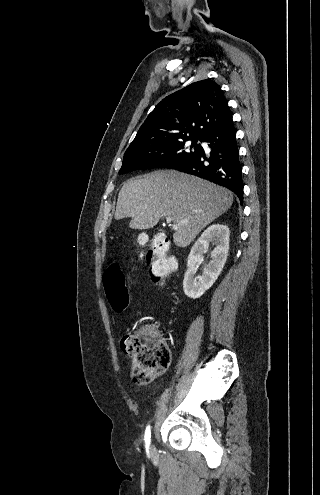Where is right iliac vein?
Masks as SVG:
<instances>
[{
  "label": "right iliac vein",
  "mask_w": 320,
  "mask_h": 495,
  "mask_svg": "<svg viewBox=\"0 0 320 495\" xmlns=\"http://www.w3.org/2000/svg\"><path fill=\"white\" fill-rule=\"evenodd\" d=\"M150 452H151L152 454H154V453H155V448H154V446H153V445L150 447Z\"/></svg>",
  "instance_id": "right-iliac-vein-1"
}]
</instances>
